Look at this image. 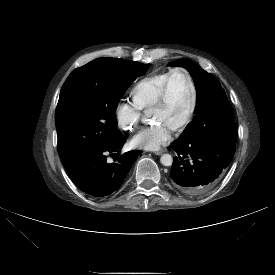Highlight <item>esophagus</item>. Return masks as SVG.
Segmentation results:
<instances>
[{"instance_id": "esophagus-1", "label": "esophagus", "mask_w": 275, "mask_h": 275, "mask_svg": "<svg viewBox=\"0 0 275 275\" xmlns=\"http://www.w3.org/2000/svg\"><path fill=\"white\" fill-rule=\"evenodd\" d=\"M167 150H161V151H157L155 152V155H162L163 153H165Z\"/></svg>"}]
</instances>
